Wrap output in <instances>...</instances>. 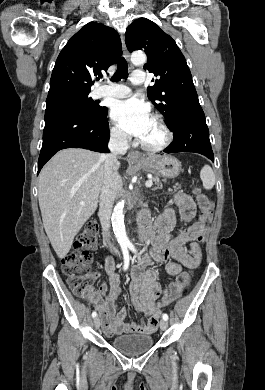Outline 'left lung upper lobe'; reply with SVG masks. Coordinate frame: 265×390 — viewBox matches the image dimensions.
<instances>
[{
    "label": "left lung upper lobe",
    "mask_w": 265,
    "mask_h": 390,
    "mask_svg": "<svg viewBox=\"0 0 265 390\" xmlns=\"http://www.w3.org/2000/svg\"><path fill=\"white\" fill-rule=\"evenodd\" d=\"M125 38L129 52L144 50L147 53L144 69L158 76L154 86L147 89L148 98L171 129L186 110L200 106L184 55L171 36L146 18L129 25Z\"/></svg>",
    "instance_id": "1"
}]
</instances>
